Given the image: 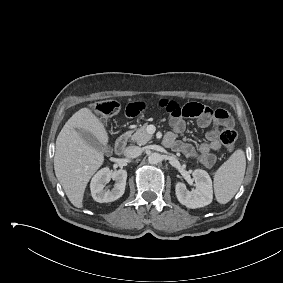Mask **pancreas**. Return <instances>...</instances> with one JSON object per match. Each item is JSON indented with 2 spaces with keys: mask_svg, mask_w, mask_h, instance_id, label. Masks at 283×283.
I'll return each mask as SVG.
<instances>
[{
  "mask_svg": "<svg viewBox=\"0 0 283 283\" xmlns=\"http://www.w3.org/2000/svg\"><path fill=\"white\" fill-rule=\"evenodd\" d=\"M148 124L145 123L140 128H138L134 134L130 132V139L136 142L138 145H145L148 141L151 140V135L147 133Z\"/></svg>",
  "mask_w": 283,
  "mask_h": 283,
  "instance_id": "cf45deb5",
  "label": "pancreas"
}]
</instances>
